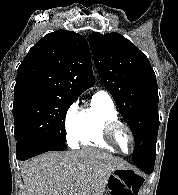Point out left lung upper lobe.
<instances>
[{
  "label": "left lung upper lobe",
  "instance_id": "obj_1",
  "mask_svg": "<svg viewBox=\"0 0 178 195\" xmlns=\"http://www.w3.org/2000/svg\"><path fill=\"white\" fill-rule=\"evenodd\" d=\"M89 44L100 77L133 133L132 160L156 154L159 97L148 58L118 33H93Z\"/></svg>",
  "mask_w": 178,
  "mask_h": 195
}]
</instances>
